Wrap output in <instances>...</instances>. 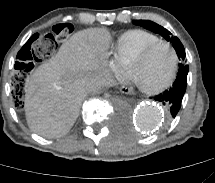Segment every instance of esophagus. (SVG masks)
I'll return each instance as SVG.
<instances>
[{"label":"esophagus","mask_w":215,"mask_h":183,"mask_svg":"<svg viewBox=\"0 0 215 183\" xmlns=\"http://www.w3.org/2000/svg\"><path fill=\"white\" fill-rule=\"evenodd\" d=\"M120 92L121 93H124V94H130L131 93V88L126 85V84H123L121 87H120Z\"/></svg>","instance_id":"obj_1"}]
</instances>
